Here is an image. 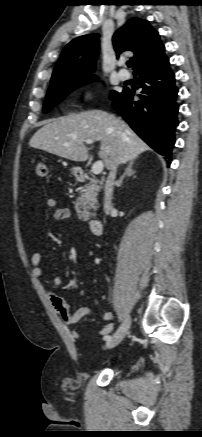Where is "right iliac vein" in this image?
Wrapping results in <instances>:
<instances>
[{
    "label": "right iliac vein",
    "mask_w": 202,
    "mask_h": 437,
    "mask_svg": "<svg viewBox=\"0 0 202 437\" xmlns=\"http://www.w3.org/2000/svg\"><path fill=\"white\" fill-rule=\"evenodd\" d=\"M130 324H131V320L128 317L119 327V329L113 334V336L109 340H107L106 348L111 349L117 346L128 333Z\"/></svg>",
    "instance_id": "63e3f726"
}]
</instances>
